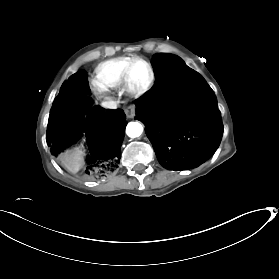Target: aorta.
I'll list each match as a JSON object with an SVG mask.
<instances>
[{
	"label": "aorta",
	"mask_w": 279,
	"mask_h": 279,
	"mask_svg": "<svg viewBox=\"0 0 279 279\" xmlns=\"http://www.w3.org/2000/svg\"><path fill=\"white\" fill-rule=\"evenodd\" d=\"M143 132V127L138 122H129L126 126V134L130 138L139 137Z\"/></svg>",
	"instance_id": "obj_1"
}]
</instances>
